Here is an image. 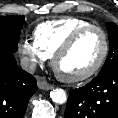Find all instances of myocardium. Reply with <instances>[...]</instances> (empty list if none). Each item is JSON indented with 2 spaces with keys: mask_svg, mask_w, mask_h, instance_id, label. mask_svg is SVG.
I'll list each match as a JSON object with an SVG mask.
<instances>
[{
  "mask_svg": "<svg viewBox=\"0 0 118 118\" xmlns=\"http://www.w3.org/2000/svg\"><path fill=\"white\" fill-rule=\"evenodd\" d=\"M90 31H98L103 39V51L102 54L97 61V63L87 72L77 75V76H66L62 74L57 67L59 59L64 56L67 52L70 51V49L77 43V41L86 33ZM109 49H110V42H109V37L106 33V31L97 25H89L83 28H80L76 32H74L53 54L52 56V67L58 76L59 79H61L64 82L67 83H77L81 81H85L91 77H93L98 71L102 68L104 65L107 56L109 54Z\"/></svg>",
  "mask_w": 118,
  "mask_h": 118,
  "instance_id": "myocardium-1",
  "label": "myocardium"
}]
</instances>
